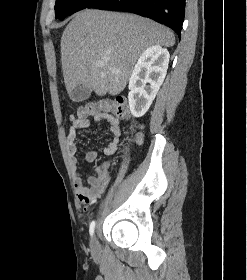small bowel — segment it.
<instances>
[{
  "label": "small bowel",
  "instance_id": "c3829d8e",
  "mask_svg": "<svg viewBox=\"0 0 247 280\" xmlns=\"http://www.w3.org/2000/svg\"><path fill=\"white\" fill-rule=\"evenodd\" d=\"M96 121H106L109 124L111 139L109 144L104 148L106 155H113L118 147L121 135L120 120L109 114H98L95 116ZM91 120L88 118L74 120L70 126L66 137L67 152L73 172V183L80 202L90 204L96 201L106 189L109 183L108 165L103 164L104 172L101 175L89 176L86 183L83 181L79 172V158L77 156V134L79 131L91 126ZM98 158L95 150H87L82 160L85 162H94Z\"/></svg>",
  "mask_w": 247,
  "mask_h": 280
}]
</instances>
